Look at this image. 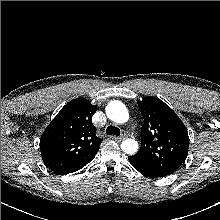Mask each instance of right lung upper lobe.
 Masks as SVG:
<instances>
[{
  "mask_svg": "<svg viewBox=\"0 0 220 220\" xmlns=\"http://www.w3.org/2000/svg\"><path fill=\"white\" fill-rule=\"evenodd\" d=\"M97 111L87 99L67 103L40 139L44 164L56 173L91 160L100 148L92 116Z\"/></svg>",
  "mask_w": 220,
  "mask_h": 220,
  "instance_id": "cb5924a9",
  "label": "right lung upper lobe"
}]
</instances>
